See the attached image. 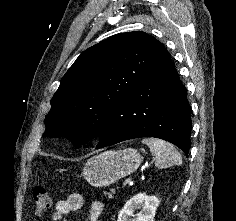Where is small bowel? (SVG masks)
<instances>
[{
	"instance_id": "obj_1",
	"label": "small bowel",
	"mask_w": 236,
	"mask_h": 221,
	"mask_svg": "<svg viewBox=\"0 0 236 221\" xmlns=\"http://www.w3.org/2000/svg\"><path fill=\"white\" fill-rule=\"evenodd\" d=\"M83 205L84 198L82 195L78 193L70 194L66 198L57 201L52 217L56 221H61L64 215L80 210ZM103 209V204L101 202H92L89 209V221H99Z\"/></svg>"
}]
</instances>
